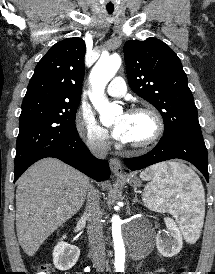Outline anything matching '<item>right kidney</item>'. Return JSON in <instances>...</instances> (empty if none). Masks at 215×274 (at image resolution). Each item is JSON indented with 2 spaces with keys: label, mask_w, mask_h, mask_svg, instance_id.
I'll return each mask as SVG.
<instances>
[{
  "label": "right kidney",
  "mask_w": 215,
  "mask_h": 274,
  "mask_svg": "<svg viewBox=\"0 0 215 274\" xmlns=\"http://www.w3.org/2000/svg\"><path fill=\"white\" fill-rule=\"evenodd\" d=\"M65 238L66 236L62 237L53 251L54 266L61 271L71 269L76 264L80 255V249L77 246L64 242L63 239Z\"/></svg>",
  "instance_id": "ca27d5eb"
}]
</instances>
